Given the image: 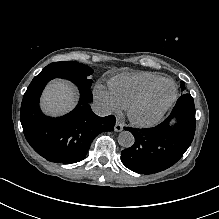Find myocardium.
Listing matches in <instances>:
<instances>
[{"label": "myocardium", "instance_id": "1", "mask_svg": "<svg viewBox=\"0 0 219 219\" xmlns=\"http://www.w3.org/2000/svg\"><path fill=\"white\" fill-rule=\"evenodd\" d=\"M162 82H169L173 86V94L152 116L144 117L139 114V110L146 103L152 92L157 88V86ZM177 98V86L171 79L161 78L157 80L154 84L148 87L144 92H142L129 106L128 116L130 120L140 126H152L156 124L165 115L167 110L172 106Z\"/></svg>", "mask_w": 219, "mask_h": 219}]
</instances>
